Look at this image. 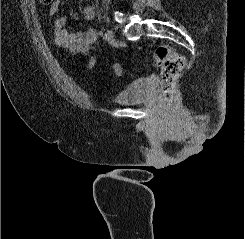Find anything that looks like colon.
I'll list each match as a JSON object with an SVG mask.
<instances>
[{
	"instance_id": "5ec220e1",
	"label": "colon",
	"mask_w": 245,
	"mask_h": 239,
	"mask_svg": "<svg viewBox=\"0 0 245 239\" xmlns=\"http://www.w3.org/2000/svg\"><path fill=\"white\" fill-rule=\"evenodd\" d=\"M42 4L49 5L53 0H39ZM153 64L161 72V95L166 103L170 104L174 97L176 83L185 66V58L168 45L157 46L152 53ZM117 76L122 75V67L115 64L113 67Z\"/></svg>"
}]
</instances>
